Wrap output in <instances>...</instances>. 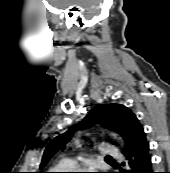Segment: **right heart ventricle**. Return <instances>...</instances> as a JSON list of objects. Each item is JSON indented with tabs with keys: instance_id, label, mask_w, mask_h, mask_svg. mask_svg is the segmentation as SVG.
Returning a JSON list of instances; mask_svg holds the SVG:
<instances>
[{
	"instance_id": "e07e8e85",
	"label": "right heart ventricle",
	"mask_w": 170,
	"mask_h": 173,
	"mask_svg": "<svg viewBox=\"0 0 170 173\" xmlns=\"http://www.w3.org/2000/svg\"><path fill=\"white\" fill-rule=\"evenodd\" d=\"M58 168L65 170V171H68V170H71L73 168V163L70 160L65 159L59 163Z\"/></svg>"
}]
</instances>
